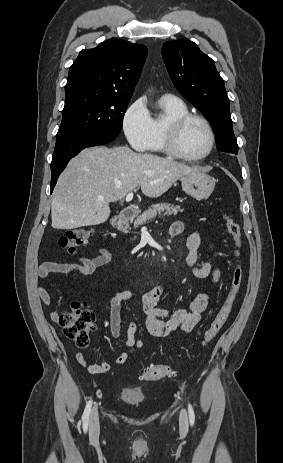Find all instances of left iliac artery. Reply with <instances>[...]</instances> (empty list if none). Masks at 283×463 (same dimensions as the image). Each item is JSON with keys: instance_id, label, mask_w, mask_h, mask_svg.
Instances as JSON below:
<instances>
[{"instance_id": "1", "label": "left iliac artery", "mask_w": 283, "mask_h": 463, "mask_svg": "<svg viewBox=\"0 0 283 463\" xmlns=\"http://www.w3.org/2000/svg\"><path fill=\"white\" fill-rule=\"evenodd\" d=\"M188 412H189V420H190V424L193 426L194 425V421H195V414H194V410L191 406V404L189 403L188 404Z\"/></svg>"}]
</instances>
